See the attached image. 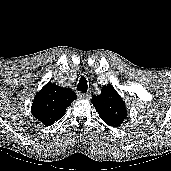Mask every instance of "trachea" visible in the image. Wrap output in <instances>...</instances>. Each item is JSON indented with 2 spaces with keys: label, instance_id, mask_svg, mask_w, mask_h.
<instances>
[{
  "label": "trachea",
  "instance_id": "obj_1",
  "mask_svg": "<svg viewBox=\"0 0 171 171\" xmlns=\"http://www.w3.org/2000/svg\"><path fill=\"white\" fill-rule=\"evenodd\" d=\"M88 89V84H87V80L84 76H82L79 80V83L77 85V90L81 91L83 93H86Z\"/></svg>",
  "mask_w": 171,
  "mask_h": 171
}]
</instances>
